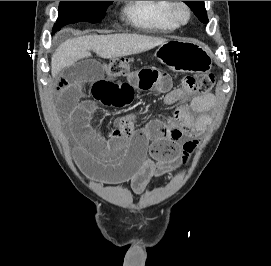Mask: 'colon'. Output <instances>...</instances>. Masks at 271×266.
<instances>
[{"label": "colon", "instance_id": "colon-1", "mask_svg": "<svg viewBox=\"0 0 271 266\" xmlns=\"http://www.w3.org/2000/svg\"><path fill=\"white\" fill-rule=\"evenodd\" d=\"M130 60L119 58L104 64V70L108 77L123 75L129 68ZM214 75L211 72H203L198 75L187 76L182 81V89L189 94L208 95L214 86ZM197 140L187 141L183 145V160L186 161L197 145Z\"/></svg>", "mask_w": 271, "mask_h": 266}]
</instances>
